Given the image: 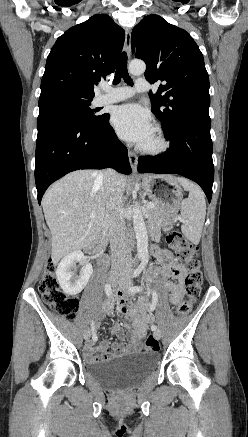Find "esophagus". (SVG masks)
Wrapping results in <instances>:
<instances>
[{
  "mask_svg": "<svg viewBox=\"0 0 248 437\" xmlns=\"http://www.w3.org/2000/svg\"><path fill=\"white\" fill-rule=\"evenodd\" d=\"M124 47H125V51L127 52L128 56H129L130 49H131V32L129 30H126V32H125ZM128 157H129V162H130L131 168H132L133 172L135 173L137 171V164H138L137 155L134 152L129 150Z\"/></svg>",
  "mask_w": 248,
  "mask_h": 437,
  "instance_id": "1",
  "label": "esophagus"
}]
</instances>
